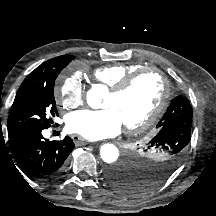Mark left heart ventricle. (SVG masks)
<instances>
[{
  "instance_id": "left-heart-ventricle-1",
  "label": "left heart ventricle",
  "mask_w": 216,
  "mask_h": 216,
  "mask_svg": "<svg viewBox=\"0 0 216 216\" xmlns=\"http://www.w3.org/2000/svg\"><path fill=\"white\" fill-rule=\"evenodd\" d=\"M163 93L161 78L155 72L139 76L131 87L121 95L110 93L103 107L113 109L123 125L131 126L144 120L157 106Z\"/></svg>"
}]
</instances>
